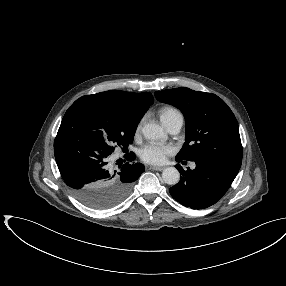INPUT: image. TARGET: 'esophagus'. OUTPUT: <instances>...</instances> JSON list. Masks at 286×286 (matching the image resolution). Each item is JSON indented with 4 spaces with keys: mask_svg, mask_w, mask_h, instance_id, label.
Here are the masks:
<instances>
[{
    "mask_svg": "<svg viewBox=\"0 0 286 286\" xmlns=\"http://www.w3.org/2000/svg\"><path fill=\"white\" fill-rule=\"evenodd\" d=\"M149 169L154 170V171H162L165 169V167H163V166H150Z\"/></svg>",
    "mask_w": 286,
    "mask_h": 286,
    "instance_id": "34e87169",
    "label": "esophagus"
}]
</instances>
